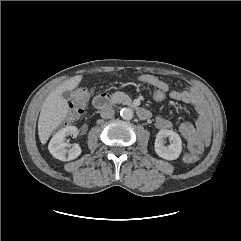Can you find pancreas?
Segmentation results:
<instances>
[{
  "mask_svg": "<svg viewBox=\"0 0 241 241\" xmlns=\"http://www.w3.org/2000/svg\"><path fill=\"white\" fill-rule=\"evenodd\" d=\"M125 97L126 95L124 93L116 92L112 95V102L114 103L122 102Z\"/></svg>",
  "mask_w": 241,
  "mask_h": 241,
  "instance_id": "obj_1",
  "label": "pancreas"
}]
</instances>
